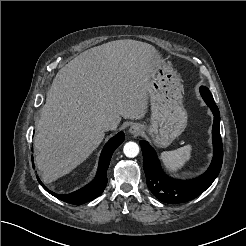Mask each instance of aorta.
Masks as SVG:
<instances>
[{"label": "aorta", "instance_id": "1", "mask_svg": "<svg viewBox=\"0 0 246 246\" xmlns=\"http://www.w3.org/2000/svg\"><path fill=\"white\" fill-rule=\"evenodd\" d=\"M124 154L129 158H134L139 154V146L135 142H127L123 148Z\"/></svg>", "mask_w": 246, "mask_h": 246}]
</instances>
